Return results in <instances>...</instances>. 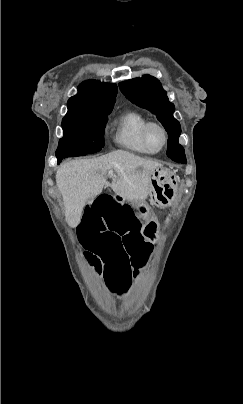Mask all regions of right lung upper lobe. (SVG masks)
<instances>
[{
	"mask_svg": "<svg viewBox=\"0 0 243 404\" xmlns=\"http://www.w3.org/2000/svg\"><path fill=\"white\" fill-rule=\"evenodd\" d=\"M116 95L115 84L85 81L79 85L78 93L68 100L67 113L96 112L113 107Z\"/></svg>",
	"mask_w": 243,
	"mask_h": 404,
	"instance_id": "cb5924a9",
	"label": "right lung upper lobe"
}]
</instances>
